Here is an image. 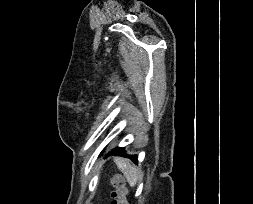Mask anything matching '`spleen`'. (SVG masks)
Listing matches in <instances>:
<instances>
[{"instance_id":"3e777b00","label":"spleen","mask_w":253,"mask_h":204,"mask_svg":"<svg viewBox=\"0 0 253 204\" xmlns=\"http://www.w3.org/2000/svg\"><path fill=\"white\" fill-rule=\"evenodd\" d=\"M114 161L120 171L126 177L130 186L134 187L137 181L142 177L141 171L136 167L130 165L129 162L125 159L115 158Z\"/></svg>"}]
</instances>
